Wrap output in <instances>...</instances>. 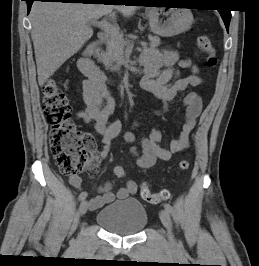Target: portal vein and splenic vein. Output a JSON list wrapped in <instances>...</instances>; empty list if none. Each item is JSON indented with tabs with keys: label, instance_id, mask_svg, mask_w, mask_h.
<instances>
[{
	"label": "portal vein and splenic vein",
	"instance_id": "1",
	"mask_svg": "<svg viewBox=\"0 0 259 266\" xmlns=\"http://www.w3.org/2000/svg\"><path fill=\"white\" fill-rule=\"evenodd\" d=\"M91 24L101 28L102 30H104L107 34H109L112 37H121V34L117 30V28L111 25L108 21H106V19H103L101 21H99L98 19H95L91 21ZM141 46L145 48L147 47V43L141 42Z\"/></svg>",
	"mask_w": 259,
	"mask_h": 266
}]
</instances>
